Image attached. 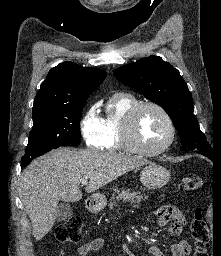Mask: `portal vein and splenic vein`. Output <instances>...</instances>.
<instances>
[{
  "label": "portal vein and splenic vein",
  "mask_w": 221,
  "mask_h": 256,
  "mask_svg": "<svg viewBox=\"0 0 221 256\" xmlns=\"http://www.w3.org/2000/svg\"><path fill=\"white\" fill-rule=\"evenodd\" d=\"M87 183H88V180H83V181L81 182L82 185H87Z\"/></svg>",
  "instance_id": "1"
}]
</instances>
